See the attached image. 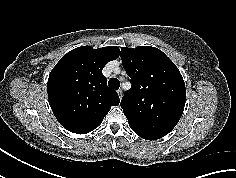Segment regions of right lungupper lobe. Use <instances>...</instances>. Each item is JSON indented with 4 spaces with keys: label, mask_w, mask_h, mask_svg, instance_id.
<instances>
[{
    "label": "right lung upper lobe",
    "mask_w": 236,
    "mask_h": 178,
    "mask_svg": "<svg viewBox=\"0 0 236 178\" xmlns=\"http://www.w3.org/2000/svg\"><path fill=\"white\" fill-rule=\"evenodd\" d=\"M118 47L93 49L82 46L68 52L48 78L50 107L67 130L86 134L96 129L111 106L120 102L117 93L107 87L102 69L119 57Z\"/></svg>",
    "instance_id": "right-lung-upper-lobe-1"
}]
</instances>
